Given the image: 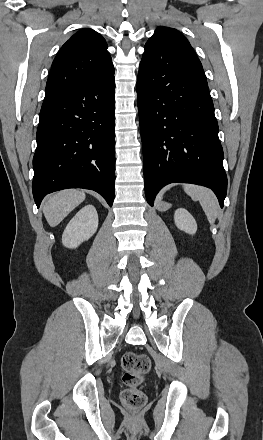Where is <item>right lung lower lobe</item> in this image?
<instances>
[{
    "mask_svg": "<svg viewBox=\"0 0 263 440\" xmlns=\"http://www.w3.org/2000/svg\"><path fill=\"white\" fill-rule=\"evenodd\" d=\"M114 74L45 99L39 115L32 191L91 189L112 206L115 190Z\"/></svg>",
    "mask_w": 263,
    "mask_h": 440,
    "instance_id": "right-lung-lower-lobe-1",
    "label": "right lung lower lobe"
}]
</instances>
